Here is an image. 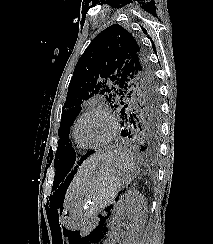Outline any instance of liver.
Returning <instances> with one entry per match:
<instances>
[{
    "label": "liver",
    "instance_id": "1",
    "mask_svg": "<svg viewBox=\"0 0 213 244\" xmlns=\"http://www.w3.org/2000/svg\"><path fill=\"white\" fill-rule=\"evenodd\" d=\"M107 153H95L89 157L77 170L73 181L68 189V192L64 201V208L68 207L71 200L73 199L77 189L85 182L87 177L96 168L98 162L105 158Z\"/></svg>",
    "mask_w": 213,
    "mask_h": 244
}]
</instances>
